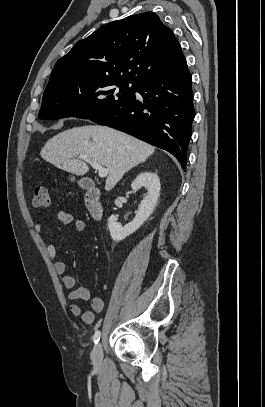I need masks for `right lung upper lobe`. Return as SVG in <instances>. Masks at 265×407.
<instances>
[{
	"label": "right lung upper lobe",
	"mask_w": 265,
	"mask_h": 407,
	"mask_svg": "<svg viewBox=\"0 0 265 407\" xmlns=\"http://www.w3.org/2000/svg\"><path fill=\"white\" fill-rule=\"evenodd\" d=\"M172 30L144 12L113 21L77 42L54 66L49 83L88 79L140 84L182 56Z\"/></svg>",
	"instance_id": "obj_1"
}]
</instances>
